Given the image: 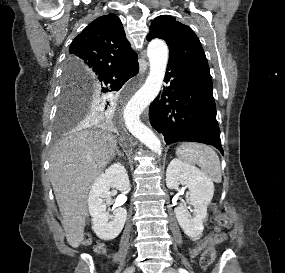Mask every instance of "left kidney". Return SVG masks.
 Listing matches in <instances>:
<instances>
[{
  "instance_id": "1",
  "label": "left kidney",
  "mask_w": 285,
  "mask_h": 273,
  "mask_svg": "<svg viewBox=\"0 0 285 273\" xmlns=\"http://www.w3.org/2000/svg\"><path fill=\"white\" fill-rule=\"evenodd\" d=\"M180 184L186 185L189 189L187 203L193 206L192 216H189L183 203H180L174 212L184 233L196 240L204 230L203 222L207 217V206L213 198L214 186L195 166L173 159L166 171V185L169 189H176Z\"/></svg>"
}]
</instances>
